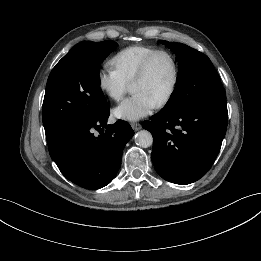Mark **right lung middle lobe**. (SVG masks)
<instances>
[{"label": "right lung middle lobe", "instance_id": "1", "mask_svg": "<svg viewBox=\"0 0 261 261\" xmlns=\"http://www.w3.org/2000/svg\"><path fill=\"white\" fill-rule=\"evenodd\" d=\"M117 43L83 41L51 71L43 101V125L50 140L68 127L93 121L108 110L100 88L99 65Z\"/></svg>", "mask_w": 261, "mask_h": 261}]
</instances>
